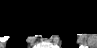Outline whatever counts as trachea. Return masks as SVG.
Instances as JSON below:
<instances>
[{
  "label": "trachea",
  "instance_id": "trachea-1",
  "mask_svg": "<svg viewBox=\"0 0 97 48\" xmlns=\"http://www.w3.org/2000/svg\"><path fill=\"white\" fill-rule=\"evenodd\" d=\"M43 36H44V37H50V33H49L48 31H47V32L45 31V32L43 33Z\"/></svg>",
  "mask_w": 97,
  "mask_h": 48
}]
</instances>
